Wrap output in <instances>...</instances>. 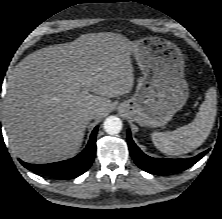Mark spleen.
<instances>
[{
	"mask_svg": "<svg viewBox=\"0 0 222 219\" xmlns=\"http://www.w3.org/2000/svg\"><path fill=\"white\" fill-rule=\"evenodd\" d=\"M215 88L206 93L205 101L200 105L194 120L172 132H153L151 134L155 147L168 155H180L199 147L209 136L217 113Z\"/></svg>",
	"mask_w": 222,
	"mask_h": 219,
	"instance_id": "1",
	"label": "spleen"
}]
</instances>
